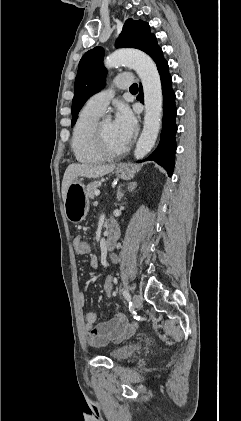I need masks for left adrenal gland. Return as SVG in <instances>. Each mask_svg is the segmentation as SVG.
<instances>
[{
	"label": "left adrenal gland",
	"mask_w": 241,
	"mask_h": 421,
	"mask_svg": "<svg viewBox=\"0 0 241 421\" xmlns=\"http://www.w3.org/2000/svg\"><path fill=\"white\" fill-rule=\"evenodd\" d=\"M136 182H134V183H130L129 185H128V191L129 192H132L134 189H135V187H136ZM121 187L122 186H119L118 187V190H117V201L119 202L122 198H123V196H124V193L123 192H121Z\"/></svg>",
	"instance_id": "obj_1"
}]
</instances>
